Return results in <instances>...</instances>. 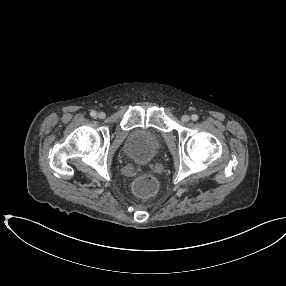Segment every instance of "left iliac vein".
<instances>
[{
    "label": "left iliac vein",
    "instance_id": "left-iliac-vein-1",
    "mask_svg": "<svg viewBox=\"0 0 286 286\" xmlns=\"http://www.w3.org/2000/svg\"><path fill=\"white\" fill-rule=\"evenodd\" d=\"M181 120H182L183 122L187 123V122H189V120H190V116H189V115H183L182 118H181Z\"/></svg>",
    "mask_w": 286,
    "mask_h": 286
}]
</instances>
